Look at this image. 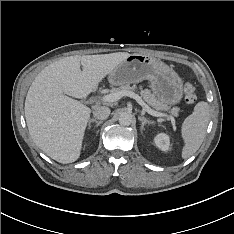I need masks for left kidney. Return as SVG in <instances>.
Returning a JSON list of instances; mask_svg holds the SVG:
<instances>
[{
	"instance_id": "1",
	"label": "left kidney",
	"mask_w": 234,
	"mask_h": 234,
	"mask_svg": "<svg viewBox=\"0 0 234 234\" xmlns=\"http://www.w3.org/2000/svg\"><path fill=\"white\" fill-rule=\"evenodd\" d=\"M154 142L156 146L161 149L162 151L170 150V138L165 133H159L155 136Z\"/></svg>"
}]
</instances>
